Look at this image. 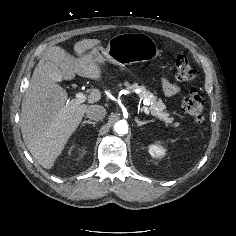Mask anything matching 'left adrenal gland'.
<instances>
[{"label": "left adrenal gland", "instance_id": "a2214340", "mask_svg": "<svg viewBox=\"0 0 236 236\" xmlns=\"http://www.w3.org/2000/svg\"><path fill=\"white\" fill-rule=\"evenodd\" d=\"M135 122L137 123L138 127H140V126H143V125H145L147 123H150L151 120L150 121H139L138 118L136 117L135 118Z\"/></svg>", "mask_w": 236, "mask_h": 236}]
</instances>
